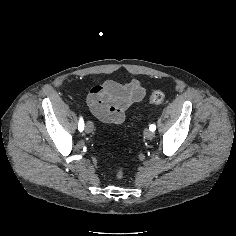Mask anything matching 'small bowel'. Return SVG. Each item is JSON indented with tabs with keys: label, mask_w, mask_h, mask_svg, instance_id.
Segmentation results:
<instances>
[{
	"label": "small bowel",
	"mask_w": 236,
	"mask_h": 236,
	"mask_svg": "<svg viewBox=\"0 0 236 236\" xmlns=\"http://www.w3.org/2000/svg\"><path fill=\"white\" fill-rule=\"evenodd\" d=\"M145 94V88L136 79L126 84L108 80L90 90L87 104L99 120L119 125L125 120L126 111L142 101Z\"/></svg>",
	"instance_id": "c3829d8e"
}]
</instances>
